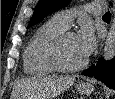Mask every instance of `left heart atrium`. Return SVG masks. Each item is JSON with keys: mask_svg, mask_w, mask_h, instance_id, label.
Instances as JSON below:
<instances>
[{"mask_svg": "<svg viewBox=\"0 0 115 99\" xmlns=\"http://www.w3.org/2000/svg\"><path fill=\"white\" fill-rule=\"evenodd\" d=\"M78 45L85 57L89 56L96 45L94 30L91 25L84 24L76 35Z\"/></svg>", "mask_w": 115, "mask_h": 99, "instance_id": "obj_1", "label": "left heart atrium"}]
</instances>
